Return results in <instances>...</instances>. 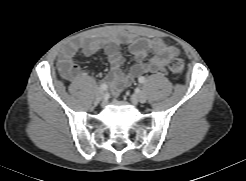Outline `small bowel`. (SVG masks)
I'll return each mask as SVG.
<instances>
[{
  "label": "small bowel",
  "mask_w": 246,
  "mask_h": 181,
  "mask_svg": "<svg viewBox=\"0 0 246 181\" xmlns=\"http://www.w3.org/2000/svg\"><path fill=\"white\" fill-rule=\"evenodd\" d=\"M126 44L134 56L133 64L127 72L122 71L125 61L120 51L121 45ZM78 51L87 56L103 52L110 65L111 71L104 77L114 94L120 93L134 78L146 73H159L166 69L169 59L179 54L177 48L159 39H142L129 33H118L108 38L80 37L67 43L58 58V68L63 78L77 80L81 75L80 67L74 62ZM152 51L153 56L147 58Z\"/></svg>",
  "instance_id": "small-bowel-1"
}]
</instances>
